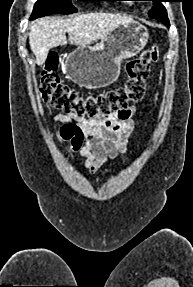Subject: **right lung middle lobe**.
<instances>
[{
  "label": "right lung middle lobe",
  "instance_id": "right-lung-middle-lobe-1",
  "mask_svg": "<svg viewBox=\"0 0 193 287\" xmlns=\"http://www.w3.org/2000/svg\"><path fill=\"white\" fill-rule=\"evenodd\" d=\"M78 1H102V0H78ZM77 9L72 5L71 0H37L31 15V19L46 15L63 13L71 14Z\"/></svg>",
  "mask_w": 193,
  "mask_h": 287
}]
</instances>
